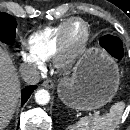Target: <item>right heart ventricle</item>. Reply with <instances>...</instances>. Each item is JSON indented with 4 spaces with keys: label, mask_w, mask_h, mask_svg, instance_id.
Returning <instances> with one entry per match:
<instances>
[{
    "label": "right heart ventricle",
    "mask_w": 130,
    "mask_h": 130,
    "mask_svg": "<svg viewBox=\"0 0 130 130\" xmlns=\"http://www.w3.org/2000/svg\"><path fill=\"white\" fill-rule=\"evenodd\" d=\"M69 20L29 35L24 42L29 54L39 62L51 59L58 50L61 34Z\"/></svg>",
    "instance_id": "1"
}]
</instances>
